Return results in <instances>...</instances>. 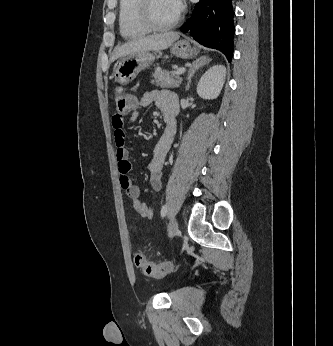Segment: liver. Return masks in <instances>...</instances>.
I'll return each instance as SVG.
<instances>
[{"mask_svg":"<svg viewBox=\"0 0 333 346\" xmlns=\"http://www.w3.org/2000/svg\"><path fill=\"white\" fill-rule=\"evenodd\" d=\"M179 34L176 32H167L163 34H153L136 40L129 41L122 46L116 48L113 53V60L144 51H159L170 47Z\"/></svg>","mask_w":333,"mask_h":346,"instance_id":"6515ba94","label":"liver"}]
</instances>
